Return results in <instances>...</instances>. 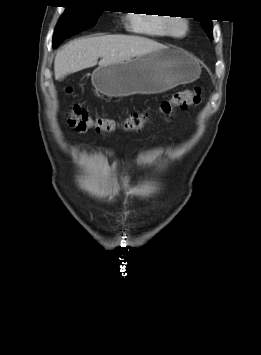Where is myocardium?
I'll list each match as a JSON object with an SVG mask.
<instances>
[{"instance_id": "obj_1", "label": "myocardium", "mask_w": 261, "mask_h": 355, "mask_svg": "<svg viewBox=\"0 0 261 355\" xmlns=\"http://www.w3.org/2000/svg\"><path fill=\"white\" fill-rule=\"evenodd\" d=\"M178 26L182 27L181 32L176 31ZM167 31L171 37L184 38L189 32V21L185 18H169L167 22Z\"/></svg>"}]
</instances>
